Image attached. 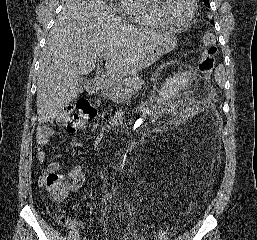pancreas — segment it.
I'll use <instances>...</instances> for the list:
<instances>
[{
    "label": "pancreas",
    "mask_w": 257,
    "mask_h": 240,
    "mask_svg": "<svg viewBox=\"0 0 257 240\" xmlns=\"http://www.w3.org/2000/svg\"><path fill=\"white\" fill-rule=\"evenodd\" d=\"M128 72V71H127ZM129 78L123 80L115 86L105 85L103 87L102 95L113 102L123 101L133 95L141 85L142 79L136 75V72H128Z\"/></svg>",
    "instance_id": "obj_1"
}]
</instances>
